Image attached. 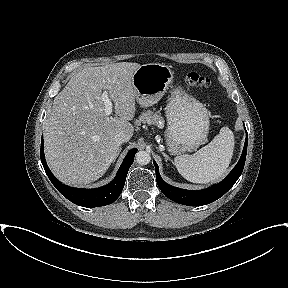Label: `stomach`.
<instances>
[{"mask_svg":"<svg viewBox=\"0 0 288 288\" xmlns=\"http://www.w3.org/2000/svg\"><path fill=\"white\" fill-rule=\"evenodd\" d=\"M173 78L174 72L168 65H141L132 75V86L139 105L148 107L156 104L168 90ZM165 110V138L171 154L195 150L206 141L210 126L208 110L181 87L172 90Z\"/></svg>","mask_w":288,"mask_h":288,"instance_id":"1","label":"stomach"}]
</instances>
